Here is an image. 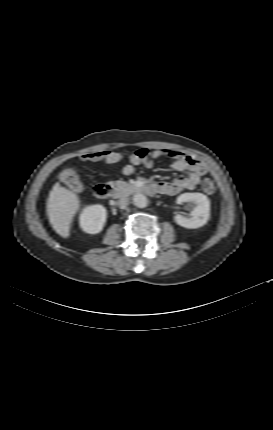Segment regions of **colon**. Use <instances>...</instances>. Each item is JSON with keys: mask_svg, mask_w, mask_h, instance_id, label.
<instances>
[{"mask_svg": "<svg viewBox=\"0 0 273 430\" xmlns=\"http://www.w3.org/2000/svg\"><path fill=\"white\" fill-rule=\"evenodd\" d=\"M62 182L72 190L80 191L83 188V184L78 176L77 171L73 167H68L62 170L60 174ZM204 192L207 194L215 193L217 185L211 179H205L202 184Z\"/></svg>", "mask_w": 273, "mask_h": 430, "instance_id": "colon-1", "label": "colon"}]
</instances>
